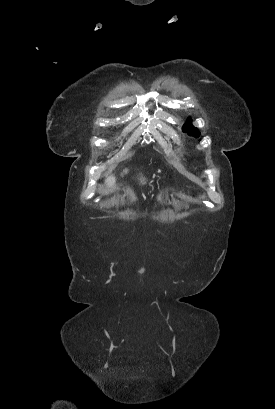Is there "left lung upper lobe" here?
I'll use <instances>...</instances> for the list:
<instances>
[{
  "instance_id": "obj_1",
  "label": "left lung upper lobe",
  "mask_w": 275,
  "mask_h": 409,
  "mask_svg": "<svg viewBox=\"0 0 275 409\" xmlns=\"http://www.w3.org/2000/svg\"><path fill=\"white\" fill-rule=\"evenodd\" d=\"M182 130L184 132H189L192 135H194L195 137H199L200 132L198 131V129L196 127H194L191 123V120L188 119L187 122L183 125Z\"/></svg>"
}]
</instances>
